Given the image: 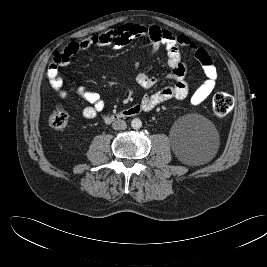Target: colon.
I'll return each instance as SVG.
<instances>
[{"instance_id": "colon-1", "label": "colon", "mask_w": 267, "mask_h": 267, "mask_svg": "<svg viewBox=\"0 0 267 267\" xmlns=\"http://www.w3.org/2000/svg\"><path fill=\"white\" fill-rule=\"evenodd\" d=\"M234 99L226 92H218L212 101L213 113L218 118H224L232 111ZM49 124L55 129H64L68 125L69 117L62 107H56L51 111L48 118Z\"/></svg>"}]
</instances>
